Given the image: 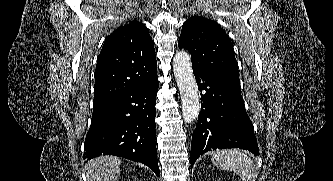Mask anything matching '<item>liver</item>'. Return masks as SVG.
I'll list each match as a JSON object with an SVG mask.
<instances>
[{
	"label": "liver",
	"instance_id": "1",
	"mask_svg": "<svg viewBox=\"0 0 333 181\" xmlns=\"http://www.w3.org/2000/svg\"><path fill=\"white\" fill-rule=\"evenodd\" d=\"M121 159L116 156H99L85 165L87 181H117Z\"/></svg>",
	"mask_w": 333,
	"mask_h": 181
}]
</instances>
